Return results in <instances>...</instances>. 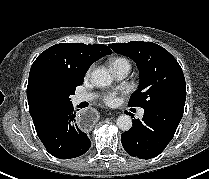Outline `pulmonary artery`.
Masks as SVG:
<instances>
[{"mask_svg": "<svg viewBox=\"0 0 209 179\" xmlns=\"http://www.w3.org/2000/svg\"><path fill=\"white\" fill-rule=\"evenodd\" d=\"M111 71L116 79L121 80L128 75L130 71V65L126 62H115L111 64ZM94 97L95 96L93 94L81 93V94H77L74 97V102L81 103L84 101H90ZM143 114H144V110H140L139 116H143Z\"/></svg>", "mask_w": 209, "mask_h": 179, "instance_id": "obj_1", "label": "pulmonary artery"}]
</instances>
